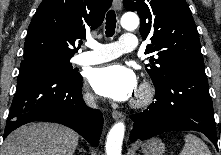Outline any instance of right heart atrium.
I'll return each instance as SVG.
<instances>
[{
	"mask_svg": "<svg viewBox=\"0 0 221 155\" xmlns=\"http://www.w3.org/2000/svg\"><path fill=\"white\" fill-rule=\"evenodd\" d=\"M85 100L89 103H93L95 98L91 93L88 92L85 94Z\"/></svg>",
	"mask_w": 221,
	"mask_h": 155,
	"instance_id": "right-heart-atrium-1",
	"label": "right heart atrium"
}]
</instances>
